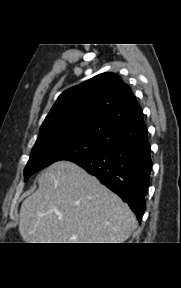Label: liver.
I'll return each instance as SVG.
<instances>
[{
  "label": "liver",
  "mask_w": 181,
  "mask_h": 288,
  "mask_svg": "<svg viewBox=\"0 0 181 288\" xmlns=\"http://www.w3.org/2000/svg\"><path fill=\"white\" fill-rule=\"evenodd\" d=\"M38 185L21 205L26 243H123L137 227L129 206L72 162L47 167Z\"/></svg>",
  "instance_id": "1"
}]
</instances>
